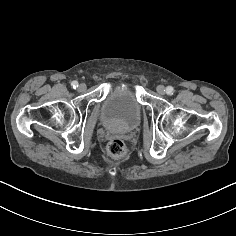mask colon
Returning <instances> with one entry per match:
<instances>
[{"instance_id":"obj_1","label":"colon","mask_w":236,"mask_h":236,"mask_svg":"<svg viewBox=\"0 0 236 236\" xmlns=\"http://www.w3.org/2000/svg\"><path fill=\"white\" fill-rule=\"evenodd\" d=\"M108 151L113 157L121 158L126 155L127 148L121 139H113L108 144Z\"/></svg>"}]
</instances>
